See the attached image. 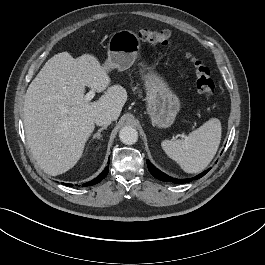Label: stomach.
Masks as SVG:
<instances>
[{
  "label": "stomach",
  "mask_w": 265,
  "mask_h": 265,
  "mask_svg": "<svg viewBox=\"0 0 265 265\" xmlns=\"http://www.w3.org/2000/svg\"><path fill=\"white\" fill-rule=\"evenodd\" d=\"M138 36L130 30L115 32L108 43V59L103 67L110 71H124L135 62L139 50ZM146 90L147 113L152 124L158 128L170 127L180 110V100L167 82L157 73L149 71L142 74Z\"/></svg>",
  "instance_id": "obj_1"
}]
</instances>
